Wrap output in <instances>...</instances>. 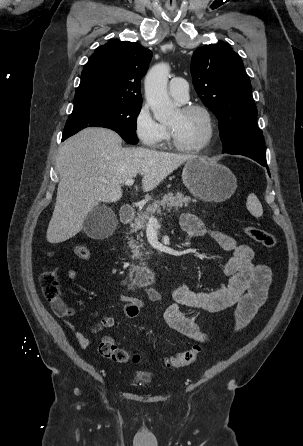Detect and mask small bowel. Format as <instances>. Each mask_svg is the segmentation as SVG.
<instances>
[{"instance_id":"small-bowel-1","label":"small bowel","mask_w":303,"mask_h":446,"mask_svg":"<svg viewBox=\"0 0 303 446\" xmlns=\"http://www.w3.org/2000/svg\"><path fill=\"white\" fill-rule=\"evenodd\" d=\"M182 230L190 237L202 238L212 237L226 251L231 252V256L223 266V276L227 279V284L216 290L195 291L186 284H179L173 291L175 302L169 305L164 318L167 324L182 335L198 341H206L207 337L200 326L186 314V309L215 313L235 307V330L243 329L247 326L259 308L267 298L268 289L272 280L271 269L264 264H257L254 261V251L245 244H238L237 241L220 231L209 229L197 216L191 213H184L180 218ZM52 256L53 253H48ZM58 273V269L54 271ZM143 290V296L151 303L157 304L162 300L159 291L149 286L148 283L134 284ZM120 301L124 303L123 313L128 319L137 318L145 308L142 297L122 294ZM55 314L63 319L73 333L74 338L82 348L89 345V339L67 321L75 315L76 310L66 305L63 301L53 303ZM115 325V318L107 315L91 328L93 333L112 328Z\"/></svg>"}]
</instances>
